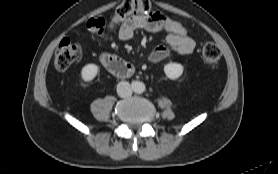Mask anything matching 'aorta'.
<instances>
[{"mask_svg":"<svg viewBox=\"0 0 278 174\" xmlns=\"http://www.w3.org/2000/svg\"><path fill=\"white\" fill-rule=\"evenodd\" d=\"M133 90L136 93H143L145 91V84L140 81H136L133 83Z\"/></svg>","mask_w":278,"mask_h":174,"instance_id":"1","label":"aorta"}]
</instances>
